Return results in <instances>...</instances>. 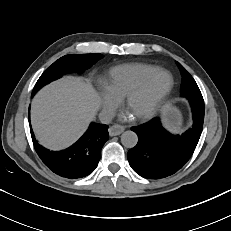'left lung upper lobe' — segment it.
Segmentation results:
<instances>
[{"instance_id":"left-lung-upper-lobe-1","label":"left lung upper lobe","mask_w":231,"mask_h":231,"mask_svg":"<svg viewBox=\"0 0 231 231\" xmlns=\"http://www.w3.org/2000/svg\"><path fill=\"white\" fill-rule=\"evenodd\" d=\"M178 66L183 74L182 96L189 100L192 109L198 107L201 111H204V100L197 83L180 63H178Z\"/></svg>"}]
</instances>
